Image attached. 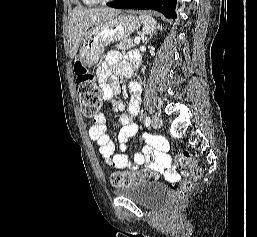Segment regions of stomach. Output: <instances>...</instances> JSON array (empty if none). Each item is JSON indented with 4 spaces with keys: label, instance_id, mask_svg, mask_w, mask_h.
Instances as JSON below:
<instances>
[{
    "label": "stomach",
    "instance_id": "0dacf381",
    "mask_svg": "<svg viewBox=\"0 0 257 237\" xmlns=\"http://www.w3.org/2000/svg\"><path fill=\"white\" fill-rule=\"evenodd\" d=\"M140 25L141 21L134 14H120L118 11L86 32L80 44L78 58L85 67H92L109 44L127 39Z\"/></svg>",
    "mask_w": 257,
    "mask_h": 237
}]
</instances>
